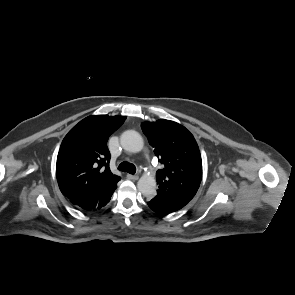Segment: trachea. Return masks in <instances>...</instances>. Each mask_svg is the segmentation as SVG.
Returning <instances> with one entry per match:
<instances>
[{
    "label": "trachea",
    "mask_w": 295,
    "mask_h": 295,
    "mask_svg": "<svg viewBox=\"0 0 295 295\" xmlns=\"http://www.w3.org/2000/svg\"><path fill=\"white\" fill-rule=\"evenodd\" d=\"M118 170H120L122 172H128L132 175H134L136 173L135 165H133L132 163H129L127 161L120 163V165L118 166Z\"/></svg>",
    "instance_id": "obj_1"
}]
</instances>
